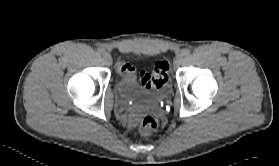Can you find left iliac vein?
I'll list each match as a JSON object with an SVG mask.
<instances>
[{
	"label": "left iliac vein",
	"mask_w": 279,
	"mask_h": 166,
	"mask_svg": "<svg viewBox=\"0 0 279 166\" xmlns=\"http://www.w3.org/2000/svg\"><path fill=\"white\" fill-rule=\"evenodd\" d=\"M182 61H183V55L179 54L175 60V67H179L182 64Z\"/></svg>",
	"instance_id": "1"
}]
</instances>
